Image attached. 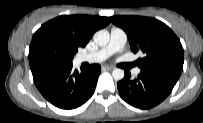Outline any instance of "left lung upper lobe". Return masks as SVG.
Listing matches in <instances>:
<instances>
[{
  "mask_svg": "<svg viewBox=\"0 0 203 123\" xmlns=\"http://www.w3.org/2000/svg\"><path fill=\"white\" fill-rule=\"evenodd\" d=\"M110 20L126 32L134 53L142 51L145 54L137 60L141 70L182 73L183 47L166 24L142 16H113Z\"/></svg>",
  "mask_w": 203,
  "mask_h": 123,
  "instance_id": "obj_1",
  "label": "left lung upper lobe"
}]
</instances>
